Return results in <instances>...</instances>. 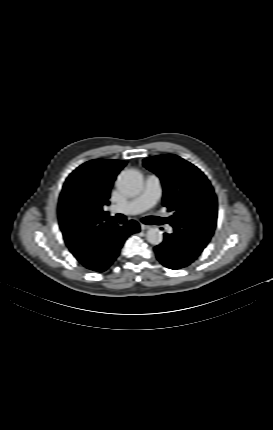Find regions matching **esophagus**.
<instances>
[{"label": "esophagus", "instance_id": "1", "mask_svg": "<svg viewBox=\"0 0 273 430\" xmlns=\"http://www.w3.org/2000/svg\"><path fill=\"white\" fill-rule=\"evenodd\" d=\"M150 228H151V226H149V225L141 224V230H147V229H150Z\"/></svg>", "mask_w": 273, "mask_h": 430}]
</instances>
